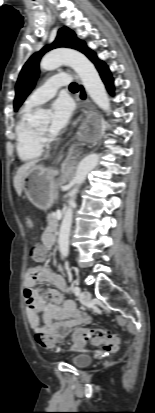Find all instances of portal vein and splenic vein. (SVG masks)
<instances>
[{
    "label": "portal vein and splenic vein",
    "instance_id": "portal-vein-and-splenic-vein-1",
    "mask_svg": "<svg viewBox=\"0 0 155 413\" xmlns=\"http://www.w3.org/2000/svg\"><path fill=\"white\" fill-rule=\"evenodd\" d=\"M56 217H60V214H59V213H57ZM57 219H58V218H57Z\"/></svg>",
    "mask_w": 155,
    "mask_h": 413
}]
</instances>
